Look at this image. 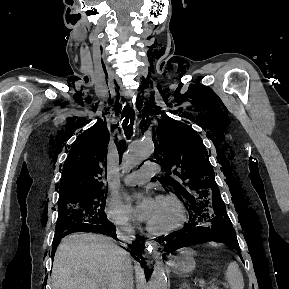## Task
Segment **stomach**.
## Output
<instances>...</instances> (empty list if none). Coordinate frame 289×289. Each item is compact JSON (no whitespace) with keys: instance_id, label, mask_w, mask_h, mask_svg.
Instances as JSON below:
<instances>
[{"instance_id":"1","label":"stomach","mask_w":289,"mask_h":289,"mask_svg":"<svg viewBox=\"0 0 289 289\" xmlns=\"http://www.w3.org/2000/svg\"><path fill=\"white\" fill-rule=\"evenodd\" d=\"M194 251L184 248L180 251V255L173 260V269L178 274L191 273L195 268Z\"/></svg>"}]
</instances>
